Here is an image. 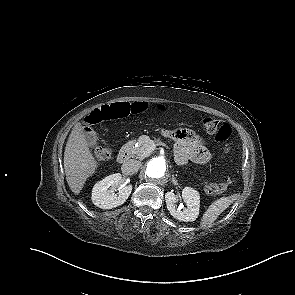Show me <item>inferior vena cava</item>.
I'll list each match as a JSON object with an SVG mask.
<instances>
[{
    "mask_svg": "<svg viewBox=\"0 0 295 295\" xmlns=\"http://www.w3.org/2000/svg\"><path fill=\"white\" fill-rule=\"evenodd\" d=\"M141 166V162L138 160L130 159L123 163L121 169L122 172L126 175H133L136 173Z\"/></svg>",
    "mask_w": 295,
    "mask_h": 295,
    "instance_id": "obj_1",
    "label": "inferior vena cava"
}]
</instances>
